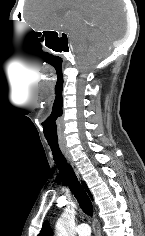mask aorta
<instances>
[{
  "instance_id": "1",
  "label": "aorta",
  "mask_w": 145,
  "mask_h": 236,
  "mask_svg": "<svg viewBox=\"0 0 145 236\" xmlns=\"http://www.w3.org/2000/svg\"><path fill=\"white\" fill-rule=\"evenodd\" d=\"M75 208V204H71L65 208L56 223L57 236H74V218L76 214Z\"/></svg>"
}]
</instances>
